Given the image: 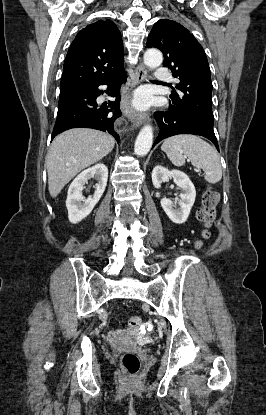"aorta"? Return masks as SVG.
<instances>
[{
    "mask_svg": "<svg viewBox=\"0 0 266 415\" xmlns=\"http://www.w3.org/2000/svg\"><path fill=\"white\" fill-rule=\"evenodd\" d=\"M163 61L162 53L156 49H148L144 54V64L150 69H155L161 65ZM153 143V129L150 125H145L139 132L134 151L138 156L146 155Z\"/></svg>",
    "mask_w": 266,
    "mask_h": 415,
    "instance_id": "762f6f07",
    "label": "aorta"
}]
</instances>
